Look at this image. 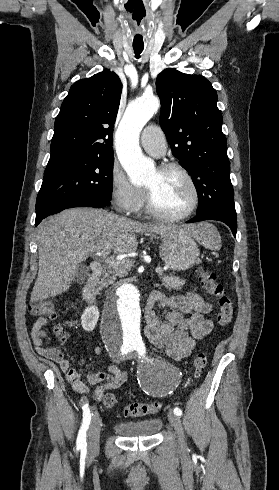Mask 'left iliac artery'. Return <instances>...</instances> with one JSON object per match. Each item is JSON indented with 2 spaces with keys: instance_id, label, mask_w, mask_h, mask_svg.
Wrapping results in <instances>:
<instances>
[{
  "instance_id": "obj_1",
  "label": "left iliac artery",
  "mask_w": 279,
  "mask_h": 490,
  "mask_svg": "<svg viewBox=\"0 0 279 490\" xmlns=\"http://www.w3.org/2000/svg\"><path fill=\"white\" fill-rule=\"evenodd\" d=\"M143 353H145V347H143ZM174 414H176L177 416H181L182 415V410L180 408H175L174 409Z\"/></svg>"
}]
</instances>
